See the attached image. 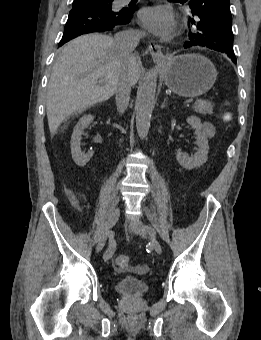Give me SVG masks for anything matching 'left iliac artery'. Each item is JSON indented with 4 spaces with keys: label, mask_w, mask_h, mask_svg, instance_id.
Wrapping results in <instances>:
<instances>
[{
    "label": "left iliac artery",
    "mask_w": 261,
    "mask_h": 340,
    "mask_svg": "<svg viewBox=\"0 0 261 340\" xmlns=\"http://www.w3.org/2000/svg\"><path fill=\"white\" fill-rule=\"evenodd\" d=\"M144 228H145V230H147L150 234H155V232H154V230L150 227V226H148V225H146V226H144Z\"/></svg>",
    "instance_id": "44dca946"
}]
</instances>
